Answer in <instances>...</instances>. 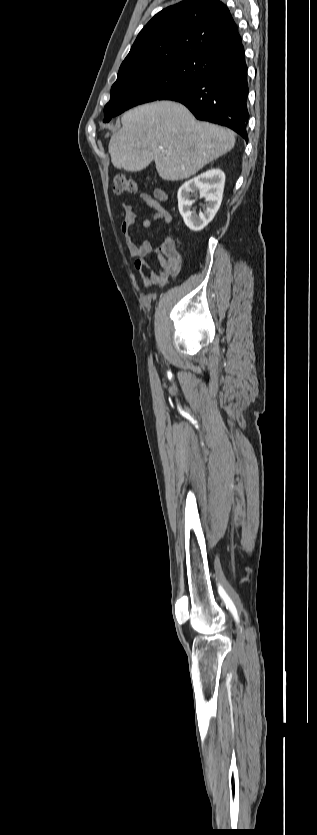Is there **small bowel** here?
Segmentation results:
<instances>
[{
    "label": "small bowel",
    "instance_id": "c3829d8e",
    "mask_svg": "<svg viewBox=\"0 0 317 835\" xmlns=\"http://www.w3.org/2000/svg\"><path fill=\"white\" fill-rule=\"evenodd\" d=\"M167 198V193L161 188L155 189L153 196L147 193L140 195L143 205L153 209L154 220H160L166 224L172 221L171 214L161 204ZM123 208L125 214L121 230L125 237L129 255L134 259V267L143 273L148 287L161 288L168 282L169 277L179 270L181 265L180 256L178 253L175 256H171L162 249L154 251L152 244L148 240L137 243L132 235V229L136 224L137 215L130 204H125ZM141 224L143 228L148 229L152 226V220L145 218ZM153 252L157 253V268L150 266L147 261V257Z\"/></svg>",
    "mask_w": 317,
    "mask_h": 835
}]
</instances>
